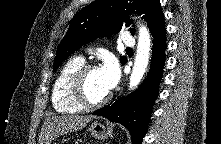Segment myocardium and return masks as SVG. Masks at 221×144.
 <instances>
[{"instance_id":"obj_1","label":"myocardium","mask_w":221,"mask_h":144,"mask_svg":"<svg viewBox=\"0 0 221 144\" xmlns=\"http://www.w3.org/2000/svg\"><path fill=\"white\" fill-rule=\"evenodd\" d=\"M98 69L95 64L84 63L73 75L70 82V94L76 104L82 108H95L105 104L111 94L108 92L99 100L92 101L88 98L85 90V83L87 75L92 71Z\"/></svg>"}]
</instances>
